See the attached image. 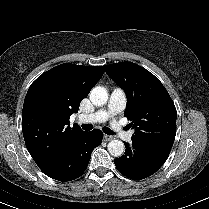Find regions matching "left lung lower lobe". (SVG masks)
Returning <instances> with one entry per match:
<instances>
[{"instance_id": "obj_1", "label": "left lung lower lobe", "mask_w": 209, "mask_h": 209, "mask_svg": "<svg viewBox=\"0 0 209 209\" xmlns=\"http://www.w3.org/2000/svg\"><path fill=\"white\" fill-rule=\"evenodd\" d=\"M125 155L115 159L118 171L128 178L141 180L154 174L166 161L171 149L154 146L132 139L126 143Z\"/></svg>"}]
</instances>
